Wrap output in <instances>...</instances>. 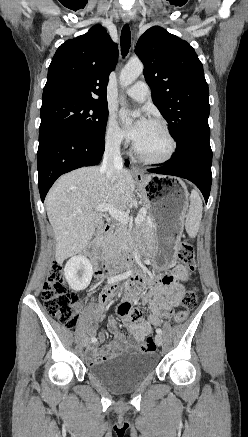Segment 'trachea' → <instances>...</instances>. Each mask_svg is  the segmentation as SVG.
Returning a JSON list of instances; mask_svg holds the SVG:
<instances>
[{"mask_svg":"<svg viewBox=\"0 0 248 437\" xmlns=\"http://www.w3.org/2000/svg\"><path fill=\"white\" fill-rule=\"evenodd\" d=\"M121 52H122V56H126L129 52L130 49V44H131V33H130V28L129 26L126 24L123 26L122 28V32H121Z\"/></svg>","mask_w":248,"mask_h":437,"instance_id":"trachea-1","label":"trachea"}]
</instances>
